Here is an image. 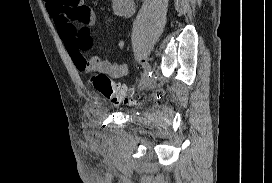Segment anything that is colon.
<instances>
[{
	"instance_id": "5ec220e1",
	"label": "colon",
	"mask_w": 272,
	"mask_h": 183,
	"mask_svg": "<svg viewBox=\"0 0 272 183\" xmlns=\"http://www.w3.org/2000/svg\"><path fill=\"white\" fill-rule=\"evenodd\" d=\"M86 70L89 72L90 84L100 95L115 104L133 103L134 99L125 87L116 85L107 75L98 72L88 63Z\"/></svg>"
}]
</instances>
